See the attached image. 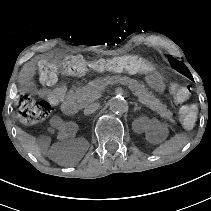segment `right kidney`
<instances>
[{"instance_id":"right-kidney-1","label":"right kidney","mask_w":211,"mask_h":211,"mask_svg":"<svg viewBox=\"0 0 211 211\" xmlns=\"http://www.w3.org/2000/svg\"><path fill=\"white\" fill-rule=\"evenodd\" d=\"M49 127L51 130L57 131V135L61 139H68L74 136L79 129L78 125L73 121L64 124V120L60 116L51 117Z\"/></svg>"}]
</instances>
